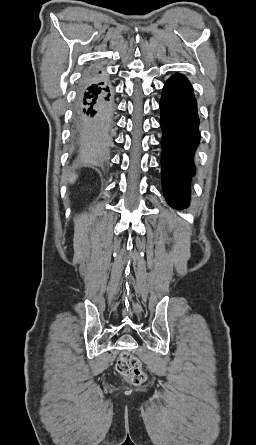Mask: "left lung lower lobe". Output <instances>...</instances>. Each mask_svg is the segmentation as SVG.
Here are the masks:
<instances>
[{"label": "left lung lower lobe", "instance_id": "obj_1", "mask_svg": "<svg viewBox=\"0 0 256 445\" xmlns=\"http://www.w3.org/2000/svg\"><path fill=\"white\" fill-rule=\"evenodd\" d=\"M160 109L163 190L170 206L182 208L189 202L193 155L199 144L197 103L184 75L176 73L165 83Z\"/></svg>", "mask_w": 256, "mask_h": 445}]
</instances>
